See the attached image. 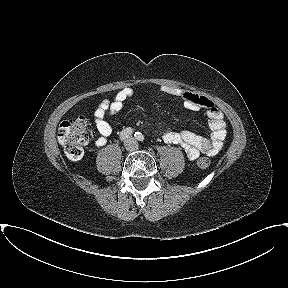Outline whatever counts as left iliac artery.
Returning <instances> with one entry per match:
<instances>
[{
  "instance_id": "obj_1",
  "label": "left iliac artery",
  "mask_w": 288,
  "mask_h": 288,
  "mask_svg": "<svg viewBox=\"0 0 288 288\" xmlns=\"http://www.w3.org/2000/svg\"><path fill=\"white\" fill-rule=\"evenodd\" d=\"M135 138L139 141H143L144 140V136L140 133V132H136L134 134Z\"/></svg>"
}]
</instances>
